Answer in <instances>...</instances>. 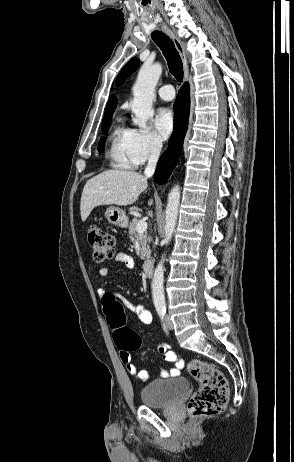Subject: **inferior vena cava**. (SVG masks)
<instances>
[{"mask_svg":"<svg viewBox=\"0 0 294 462\" xmlns=\"http://www.w3.org/2000/svg\"><path fill=\"white\" fill-rule=\"evenodd\" d=\"M161 149H162L161 143L155 141L151 144L148 164L144 171V174L146 177H151L154 174Z\"/></svg>","mask_w":294,"mask_h":462,"instance_id":"602c4592","label":"inferior vena cava"}]
</instances>
